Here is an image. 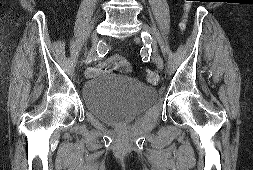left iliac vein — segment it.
<instances>
[{"instance_id":"obj_1","label":"left iliac vein","mask_w":253,"mask_h":170,"mask_svg":"<svg viewBox=\"0 0 253 170\" xmlns=\"http://www.w3.org/2000/svg\"><path fill=\"white\" fill-rule=\"evenodd\" d=\"M142 27L145 32L152 34V30L147 24L143 23ZM152 54H153V60H154L155 64L157 65V67L160 70H163L164 63H163V60H162L160 54L158 53L156 40L153 38H152Z\"/></svg>"}]
</instances>
